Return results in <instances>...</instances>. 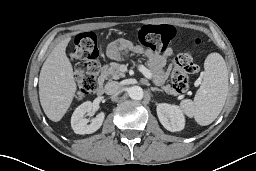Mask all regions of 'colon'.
Segmentation results:
<instances>
[{
  "label": "colon",
  "mask_w": 256,
  "mask_h": 171,
  "mask_svg": "<svg viewBox=\"0 0 256 171\" xmlns=\"http://www.w3.org/2000/svg\"><path fill=\"white\" fill-rule=\"evenodd\" d=\"M175 31L171 25H143L140 27L138 37L140 43L153 52H162L167 49L174 37ZM201 44V38H196L195 46ZM96 35L84 32L77 36L72 58L77 61L75 97L78 101L84 100L92 94L97 87L100 73V64ZM198 70L190 52L178 54L171 64V81L176 92L184 93L190 87L189 75Z\"/></svg>",
  "instance_id": "5ec220e1"
}]
</instances>
